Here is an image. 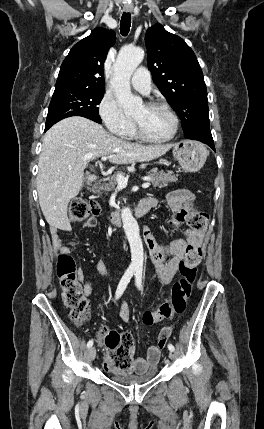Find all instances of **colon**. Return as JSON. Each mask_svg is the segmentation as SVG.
Returning <instances> with one entry per match:
<instances>
[{
  "label": "colon",
  "mask_w": 264,
  "mask_h": 429,
  "mask_svg": "<svg viewBox=\"0 0 264 429\" xmlns=\"http://www.w3.org/2000/svg\"><path fill=\"white\" fill-rule=\"evenodd\" d=\"M99 212L100 207L97 202L87 201L83 198H75L69 207V216L74 222H82L90 214L96 215ZM208 220V214L199 210L191 211L187 216L189 227L197 232L205 230ZM201 257L202 250L200 247L191 246L188 248L184 259L179 264L180 278L172 286L170 300L159 304L154 311L145 312L143 314L145 325H154L168 318L172 312L181 314L185 311ZM57 275L62 288L64 303L70 308L71 320L76 325L84 324L89 317L90 304L78 280L75 261L68 253L61 252L59 254ZM100 335L103 337L108 350L106 358L108 372L120 376L130 374L135 351L132 336L129 333H118L106 329H102ZM166 340L167 334L160 333L157 345L162 349Z\"/></svg>",
  "instance_id": "obj_1"
}]
</instances>
